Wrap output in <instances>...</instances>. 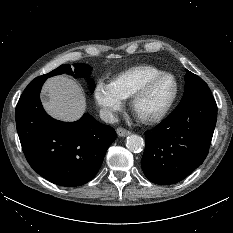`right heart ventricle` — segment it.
Segmentation results:
<instances>
[{"instance_id": "e07e8e85", "label": "right heart ventricle", "mask_w": 233, "mask_h": 233, "mask_svg": "<svg viewBox=\"0 0 233 233\" xmlns=\"http://www.w3.org/2000/svg\"><path fill=\"white\" fill-rule=\"evenodd\" d=\"M161 73H163V70L155 66L137 65L119 73L112 84L123 99H128L145 81Z\"/></svg>"}]
</instances>
